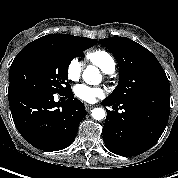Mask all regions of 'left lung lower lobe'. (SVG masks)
<instances>
[{"label":"left lung lower lobe","mask_w":178,"mask_h":178,"mask_svg":"<svg viewBox=\"0 0 178 178\" xmlns=\"http://www.w3.org/2000/svg\"><path fill=\"white\" fill-rule=\"evenodd\" d=\"M102 104L120 105L124 110L122 113L107 110L103 127L106 147L121 156H136L150 149L162 135L170 114V110L143 101L118 104L105 99Z\"/></svg>","instance_id":"1"}]
</instances>
